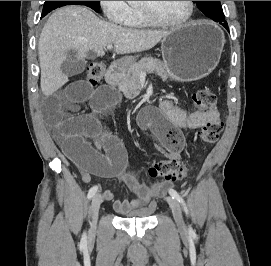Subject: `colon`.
Masks as SVG:
<instances>
[{
  "mask_svg": "<svg viewBox=\"0 0 271 266\" xmlns=\"http://www.w3.org/2000/svg\"><path fill=\"white\" fill-rule=\"evenodd\" d=\"M106 63L95 61L87 69V80L92 86L97 85L103 78ZM194 103L207 117L205 124L200 129L199 138L204 145L215 143L223 131V122L217 116V99L214 92L208 87L198 89L193 95ZM149 174L154 178L174 182L183 179L187 174V167L176 159L162 160L149 169Z\"/></svg>",
  "mask_w": 271,
  "mask_h": 266,
  "instance_id": "colon-1",
  "label": "colon"
}]
</instances>
